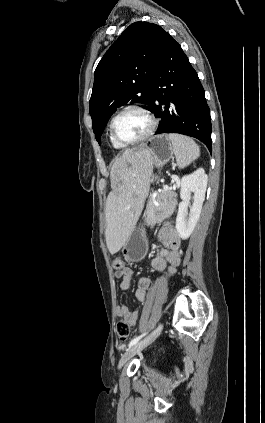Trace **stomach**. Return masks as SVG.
Returning a JSON list of instances; mask_svg holds the SVG:
<instances>
[{"mask_svg": "<svg viewBox=\"0 0 265 423\" xmlns=\"http://www.w3.org/2000/svg\"><path fill=\"white\" fill-rule=\"evenodd\" d=\"M142 149L151 153L153 167H162L174 154L173 146L167 135L152 137ZM123 256L131 262H139L147 254V233L143 225L134 227L127 238L123 249Z\"/></svg>", "mask_w": 265, "mask_h": 423, "instance_id": "obj_1", "label": "stomach"}]
</instances>
